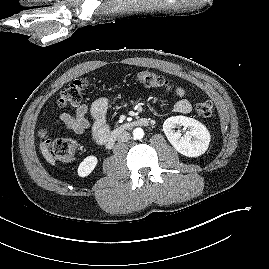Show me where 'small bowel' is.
<instances>
[{
  "instance_id": "small-bowel-1",
  "label": "small bowel",
  "mask_w": 269,
  "mask_h": 269,
  "mask_svg": "<svg viewBox=\"0 0 269 269\" xmlns=\"http://www.w3.org/2000/svg\"><path fill=\"white\" fill-rule=\"evenodd\" d=\"M174 94L178 100L173 106V111L176 114H188L191 111V104L185 98L184 89L181 86H177ZM107 111L108 100L106 98H99L90 107L84 103L79 104L74 115L61 113L58 117V122L76 134H83L91 130L94 140L99 144H103L109 133ZM88 112L92 116V122L87 118Z\"/></svg>"
}]
</instances>
